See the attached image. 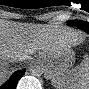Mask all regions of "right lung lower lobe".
<instances>
[{
    "label": "right lung lower lobe",
    "instance_id": "1",
    "mask_svg": "<svg viewBox=\"0 0 89 89\" xmlns=\"http://www.w3.org/2000/svg\"><path fill=\"white\" fill-rule=\"evenodd\" d=\"M24 72L25 70H21L13 73L12 77L4 84V87L7 86L8 88H15L18 80L22 77Z\"/></svg>",
    "mask_w": 89,
    "mask_h": 89
}]
</instances>
